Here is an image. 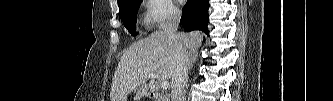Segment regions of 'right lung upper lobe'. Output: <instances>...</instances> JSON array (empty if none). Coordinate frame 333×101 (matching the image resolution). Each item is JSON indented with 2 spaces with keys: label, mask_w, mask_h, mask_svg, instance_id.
Wrapping results in <instances>:
<instances>
[{
  "label": "right lung upper lobe",
  "mask_w": 333,
  "mask_h": 101,
  "mask_svg": "<svg viewBox=\"0 0 333 101\" xmlns=\"http://www.w3.org/2000/svg\"><path fill=\"white\" fill-rule=\"evenodd\" d=\"M120 1H122V0H117L118 3H119Z\"/></svg>",
  "instance_id": "1"
}]
</instances>
